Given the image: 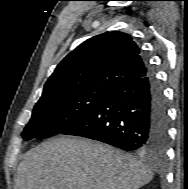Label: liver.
<instances>
[{"mask_svg":"<svg viewBox=\"0 0 188 189\" xmlns=\"http://www.w3.org/2000/svg\"><path fill=\"white\" fill-rule=\"evenodd\" d=\"M152 178L141 161L116 148L61 136L24 155L15 189H139Z\"/></svg>","mask_w":188,"mask_h":189,"instance_id":"6515ba94","label":"liver"}]
</instances>
